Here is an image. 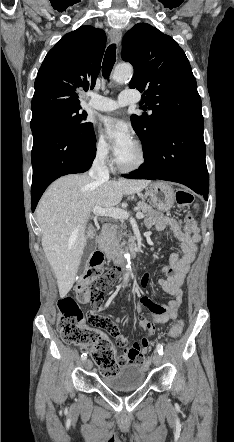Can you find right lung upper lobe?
I'll return each mask as SVG.
<instances>
[{"label":"right lung upper lobe","mask_w":234,"mask_h":442,"mask_svg":"<svg viewBox=\"0 0 234 442\" xmlns=\"http://www.w3.org/2000/svg\"><path fill=\"white\" fill-rule=\"evenodd\" d=\"M106 46L104 31L81 26L47 53L35 80L32 115L80 107L79 93L93 88Z\"/></svg>","instance_id":"obj_1"}]
</instances>
